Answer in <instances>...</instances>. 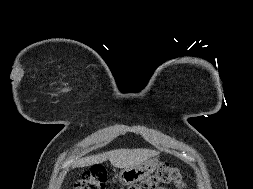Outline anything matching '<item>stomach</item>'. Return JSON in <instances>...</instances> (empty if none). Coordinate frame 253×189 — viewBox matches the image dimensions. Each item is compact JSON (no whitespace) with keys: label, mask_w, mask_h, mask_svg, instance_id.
<instances>
[{"label":"stomach","mask_w":253,"mask_h":189,"mask_svg":"<svg viewBox=\"0 0 253 189\" xmlns=\"http://www.w3.org/2000/svg\"><path fill=\"white\" fill-rule=\"evenodd\" d=\"M157 164V159H150L143 162L139 166L124 168L119 173V181L123 185H131L137 183L152 174L156 169Z\"/></svg>","instance_id":"1"}]
</instances>
